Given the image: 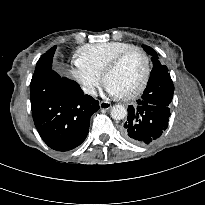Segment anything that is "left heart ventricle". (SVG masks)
Segmentation results:
<instances>
[{
  "instance_id": "1",
  "label": "left heart ventricle",
  "mask_w": 205,
  "mask_h": 205,
  "mask_svg": "<svg viewBox=\"0 0 205 205\" xmlns=\"http://www.w3.org/2000/svg\"><path fill=\"white\" fill-rule=\"evenodd\" d=\"M144 68L143 57L133 52L126 56L120 65L107 76L105 84L115 90L119 96L128 94L140 83Z\"/></svg>"
}]
</instances>
